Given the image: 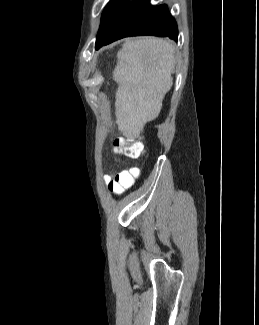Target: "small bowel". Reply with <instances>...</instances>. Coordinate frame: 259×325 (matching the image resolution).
I'll return each mask as SVG.
<instances>
[{"label": "small bowel", "instance_id": "obj_1", "mask_svg": "<svg viewBox=\"0 0 259 325\" xmlns=\"http://www.w3.org/2000/svg\"><path fill=\"white\" fill-rule=\"evenodd\" d=\"M131 170H134V171H136L137 173H138V175H139V169L138 168H132ZM104 179H105V181H109L110 180V177L108 176V175H106L105 177H104Z\"/></svg>", "mask_w": 259, "mask_h": 325}]
</instances>
